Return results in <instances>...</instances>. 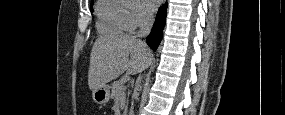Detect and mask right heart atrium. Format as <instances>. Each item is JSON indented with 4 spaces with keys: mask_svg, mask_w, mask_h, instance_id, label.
Wrapping results in <instances>:
<instances>
[{
    "mask_svg": "<svg viewBox=\"0 0 285 115\" xmlns=\"http://www.w3.org/2000/svg\"><path fill=\"white\" fill-rule=\"evenodd\" d=\"M151 21V17L142 9L132 10L129 13V32L137 28L147 26Z\"/></svg>",
    "mask_w": 285,
    "mask_h": 115,
    "instance_id": "d8ad5b80",
    "label": "right heart atrium"
}]
</instances>
